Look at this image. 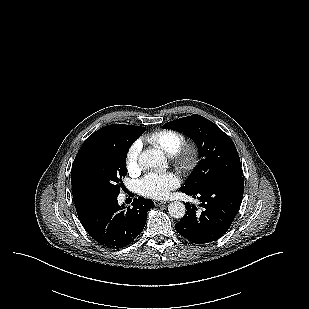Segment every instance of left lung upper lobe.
<instances>
[{"label": "left lung upper lobe", "mask_w": 309, "mask_h": 309, "mask_svg": "<svg viewBox=\"0 0 309 309\" xmlns=\"http://www.w3.org/2000/svg\"><path fill=\"white\" fill-rule=\"evenodd\" d=\"M191 137L198 146L199 167L180 190L195 191L218 181L242 179L241 162L231 138L216 124L198 114L164 124Z\"/></svg>", "instance_id": "obj_1"}]
</instances>
